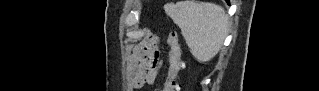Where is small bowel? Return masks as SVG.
<instances>
[{
    "label": "small bowel",
    "mask_w": 319,
    "mask_h": 91,
    "mask_svg": "<svg viewBox=\"0 0 319 91\" xmlns=\"http://www.w3.org/2000/svg\"><path fill=\"white\" fill-rule=\"evenodd\" d=\"M153 46L157 50V63L154 67L150 69H144L140 65V58L148 49ZM161 48L159 44V39L155 35H150L143 42L141 47H137L134 51L132 58L131 69L133 73V85L135 87H140L146 83H152L156 78V75L161 67Z\"/></svg>",
    "instance_id": "small-bowel-1"
}]
</instances>
